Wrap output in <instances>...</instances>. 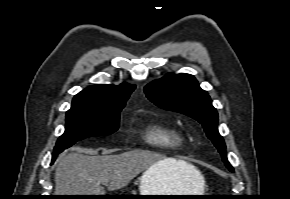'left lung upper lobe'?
Segmentation results:
<instances>
[{
  "label": "left lung upper lobe",
  "mask_w": 290,
  "mask_h": 199,
  "mask_svg": "<svg viewBox=\"0 0 290 199\" xmlns=\"http://www.w3.org/2000/svg\"><path fill=\"white\" fill-rule=\"evenodd\" d=\"M148 99L158 107L186 114L199 121L216 146L226 167L234 172L227 160L225 143L217 128L218 114L206 91L190 74H167L145 86Z\"/></svg>",
  "instance_id": "obj_1"
}]
</instances>
